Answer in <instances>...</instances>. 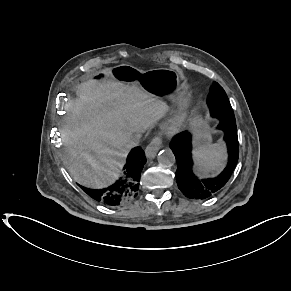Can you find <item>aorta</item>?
I'll use <instances>...</instances> for the list:
<instances>
[{"label":"aorta","instance_id":"762f6f07","mask_svg":"<svg viewBox=\"0 0 291 291\" xmlns=\"http://www.w3.org/2000/svg\"><path fill=\"white\" fill-rule=\"evenodd\" d=\"M157 160H158L159 164L164 166V167H171L174 165V163L176 161L175 155L172 152V150H170V149H164V150L160 151L158 156H157Z\"/></svg>","mask_w":291,"mask_h":291}]
</instances>
